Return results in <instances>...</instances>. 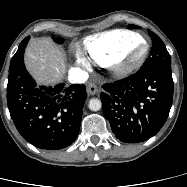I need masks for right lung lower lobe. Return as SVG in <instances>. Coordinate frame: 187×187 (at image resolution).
<instances>
[{
  "mask_svg": "<svg viewBox=\"0 0 187 187\" xmlns=\"http://www.w3.org/2000/svg\"><path fill=\"white\" fill-rule=\"evenodd\" d=\"M28 41L26 37L11 59L7 85L9 112L17 130L29 143L41 149H62L78 136L87 98L85 85L37 86L24 66Z\"/></svg>",
  "mask_w": 187,
  "mask_h": 187,
  "instance_id": "98d812e1",
  "label": "right lung lower lobe"
}]
</instances>
